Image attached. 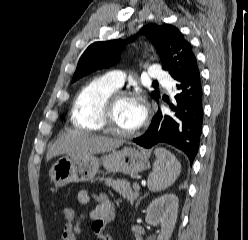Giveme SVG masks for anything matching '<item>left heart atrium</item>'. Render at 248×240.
Wrapping results in <instances>:
<instances>
[{
  "instance_id": "39dd6f15",
  "label": "left heart atrium",
  "mask_w": 248,
  "mask_h": 240,
  "mask_svg": "<svg viewBox=\"0 0 248 240\" xmlns=\"http://www.w3.org/2000/svg\"><path fill=\"white\" fill-rule=\"evenodd\" d=\"M133 99L132 120L136 127H138L144 122L147 116V109L142 96L137 95Z\"/></svg>"
}]
</instances>
